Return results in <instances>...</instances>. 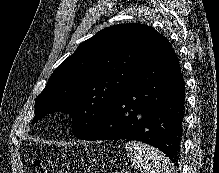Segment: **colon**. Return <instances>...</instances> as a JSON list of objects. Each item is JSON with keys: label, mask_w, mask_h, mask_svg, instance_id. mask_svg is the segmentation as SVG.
Here are the masks:
<instances>
[{"label": "colon", "mask_w": 219, "mask_h": 173, "mask_svg": "<svg viewBox=\"0 0 219 173\" xmlns=\"http://www.w3.org/2000/svg\"><path fill=\"white\" fill-rule=\"evenodd\" d=\"M52 162L47 159H37L34 161L31 173H52Z\"/></svg>", "instance_id": "colon-1"}]
</instances>
